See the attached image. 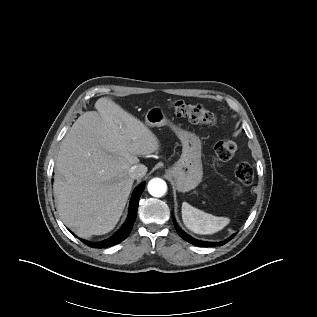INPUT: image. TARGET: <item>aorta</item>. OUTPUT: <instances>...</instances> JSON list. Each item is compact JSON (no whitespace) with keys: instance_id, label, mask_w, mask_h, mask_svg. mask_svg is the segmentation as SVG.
<instances>
[{"instance_id":"762f6f07","label":"aorta","mask_w":317,"mask_h":317,"mask_svg":"<svg viewBox=\"0 0 317 317\" xmlns=\"http://www.w3.org/2000/svg\"><path fill=\"white\" fill-rule=\"evenodd\" d=\"M166 191H167V184L161 178H153L152 180L149 181L148 192L153 197H157V198L162 197L165 195Z\"/></svg>"}]
</instances>
